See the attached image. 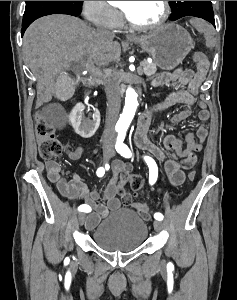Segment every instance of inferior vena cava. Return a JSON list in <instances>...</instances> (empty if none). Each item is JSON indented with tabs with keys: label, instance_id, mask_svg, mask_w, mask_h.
<instances>
[{
	"label": "inferior vena cava",
	"instance_id": "1",
	"mask_svg": "<svg viewBox=\"0 0 237 300\" xmlns=\"http://www.w3.org/2000/svg\"><path fill=\"white\" fill-rule=\"evenodd\" d=\"M97 35L100 39H114L115 37L114 33L109 31V29H106V27H97ZM105 93L107 97L105 137L112 139V137H114V129L121 107L120 91L117 83H115L112 69H107L106 71Z\"/></svg>",
	"mask_w": 237,
	"mask_h": 300
}]
</instances>
